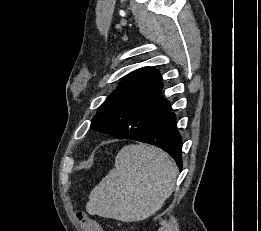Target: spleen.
Masks as SVG:
<instances>
[{
    "label": "spleen",
    "mask_w": 261,
    "mask_h": 231,
    "mask_svg": "<svg viewBox=\"0 0 261 231\" xmlns=\"http://www.w3.org/2000/svg\"><path fill=\"white\" fill-rule=\"evenodd\" d=\"M177 168L162 150L145 144L127 145L115 168L91 191L87 211L123 222L144 220L172 194Z\"/></svg>",
    "instance_id": "obj_1"
}]
</instances>
